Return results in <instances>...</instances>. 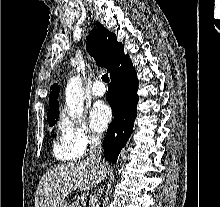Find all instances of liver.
Listing matches in <instances>:
<instances>
[{
  "instance_id": "1",
  "label": "liver",
  "mask_w": 220,
  "mask_h": 207,
  "mask_svg": "<svg viewBox=\"0 0 220 207\" xmlns=\"http://www.w3.org/2000/svg\"><path fill=\"white\" fill-rule=\"evenodd\" d=\"M106 175L88 161L71 162L48 170L41 178L36 191L35 207H61L72 191H88Z\"/></svg>"
}]
</instances>
